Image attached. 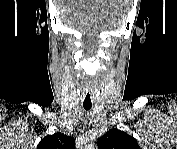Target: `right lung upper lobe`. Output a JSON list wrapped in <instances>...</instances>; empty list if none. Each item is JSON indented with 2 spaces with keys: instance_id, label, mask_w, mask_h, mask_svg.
Instances as JSON below:
<instances>
[{
  "instance_id": "obj_1",
  "label": "right lung upper lobe",
  "mask_w": 177,
  "mask_h": 149,
  "mask_svg": "<svg viewBox=\"0 0 177 149\" xmlns=\"http://www.w3.org/2000/svg\"><path fill=\"white\" fill-rule=\"evenodd\" d=\"M37 149H75V140L71 136L57 132L44 137Z\"/></svg>"
}]
</instances>
